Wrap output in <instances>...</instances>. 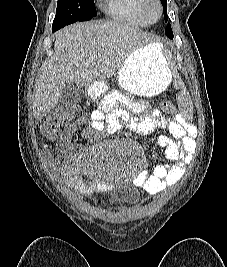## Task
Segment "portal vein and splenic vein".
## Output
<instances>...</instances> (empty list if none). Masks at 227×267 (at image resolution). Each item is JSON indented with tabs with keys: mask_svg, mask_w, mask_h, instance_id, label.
<instances>
[{
	"mask_svg": "<svg viewBox=\"0 0 227 267\" xmlns=\"http://www.w3.org/2000/svg\"><path fill=\"white\" fill-rule=\"evenodd\" d=\"M90 59H91V60H93L94 58H93V57H91Z\"/></svg>",
	"mask_w": 227,
	"mask_h": 267,
	"instance_id": "obj_1",
	"label": "portal vein and splenic vein"
}]
</instances>
